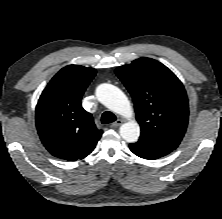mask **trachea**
Masks as SVG:
<instances>
[{
	"mask_svg": "<svg viewBox=\"0 0 222 219\" xmlns=\"http://www.w3.org/2000/svg\"><path fill=\"white\" fill-rule=\"evenodd\" d=\"M115 120H116V116L110 111H106L102 114V117H101L102 124L112 123Z\"/></svg>",
	"mask_w": 222,
	"mask_h": 219,
	"instance_id": "trachea-1",
	"label": "trachea"
}]
</instances>
